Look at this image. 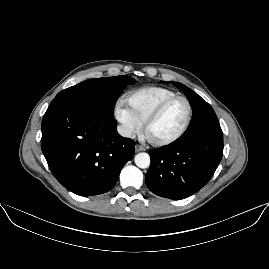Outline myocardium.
<instances>
[{"instance_id":"obj_1","label":"myocardium","mask_w":269,"mask_h":269,"mask_svg":"<svg viewBox=\"0 0 269 269\" xmlns=\"http://www.w3.org/2000/svg\"><path fill=\"white\" fill-rule=\"evenodd\" d=\"M182 100L186 103L187 106V116H186V121L183 125V127L181 128V130L172 138L164 140V141H153L152 139H150V137L148 136V131L149 128L151 127V125L160 118V116L165 112V110L172 105L173 103H175L176 101ZM191 118H192V106L190 101L184 97V96H175L172 97L166 101H164L162 104H160L153 112H151L145 123H144V128H143V136L145 138V140L151 144L154 147L157 148H165L168 146H171L173 144H175L176 142H178L181 138L184 137V135L186 134V132L189 129L190 123H191Z\"/></svg>"}]
</instances>
